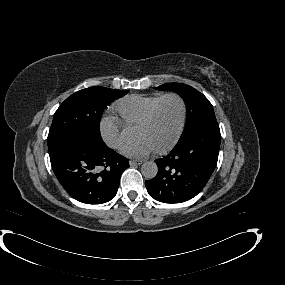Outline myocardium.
<instances>
[{
  "mask_svg": "<svg viewBox=\"0 0 285 285\" xmlns=\"http://www.w3.org/2000/svg\"><path fill=\"white\" fill-rule=\"evenodd\" d=\"M176 99L180 105H181V115H180V120L178 123V126L175 130V132L173 133V135L171 136V138L165 142L164 144H161L159 146H156V149L158 151H165L168 148H170L179 138V136L182 133L183 127H184V123H185V118H186V103L184 101V99L178 95L177 93H168L163 95L155 104L154 108L152 109L150 115L138 126L139 129H143V128H147L149 127L155 120L159 111V108L161 106V104L167 100V99Z\"/></svg>",
  "mask_w": 285,
  "mask_h": 285,
  "instance_id": "myocardium-1",
  "label": "myocardium"
}]
</instances>
